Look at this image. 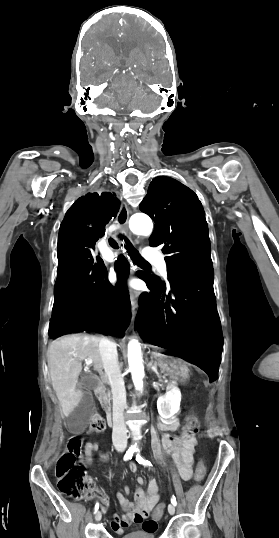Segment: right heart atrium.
<instances>
[{
    "label": "right heart atrium",
    "instance_id": "right-heart-atrium-1",
    "mask_svg": "<svg viewBox=\"0 0 279 538\" xmlns=\"http://www.w3.org/2000/svg\"><path fill=\"white\" fill-rule=\"evenodd\" d=\"M139 235H140V236H145V235H146V233H145V232H143V233H140Z\"/></svg>",
    "mask_w": 279,
    "mask_h": 538
}]
</instances>
